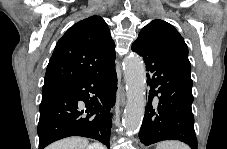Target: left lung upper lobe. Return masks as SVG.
<instances>
[{"label":"left lung upper lobe","mask_w":227,"mask_h":149,"mask_svg":"<svg viewBox=\"0 0 227 149\" xmlns=\"http://www.w3.org/2000/svg\"><path fill=\"white\" fill-rule=\"evenodd\" d=\"M152 32L163 49L190 75L191 65L188 59V48L182 36L169 23L153 20L143 29Z\"/></svg>","instance_id":"5c2ea615"}]
</instances>
